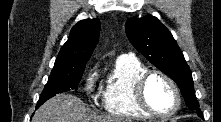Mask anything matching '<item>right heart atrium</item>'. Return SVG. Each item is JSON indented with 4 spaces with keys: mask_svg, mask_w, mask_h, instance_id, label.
Masks as SVG:
<instances>
[{
    "mask_svg": "<svg viewBox=\"0 0 221 122\" xmlns=\"http://www.w3.org/2000/svg\"><path fill=\"white\" fill-rule=\"evenodd\" d=\"M96 76V72L92 71L87 78V87L91 88Z\"/></svg>",
    "mask_w": 221,
    "mask_h": 122,
    "instance_id": "d8ad5b80",
    "label": "right heart atrium"
}]
</instances>
